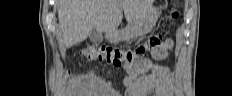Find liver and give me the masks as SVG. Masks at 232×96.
Instances as JSON below:
<instances>
[{"instance_id":"obj_1","label":"liver","mask_w":232,"mask_h":96,"mask_svg":"<svg viewBox=\"0 0 232 96\" xmlns=\"http://www.w3.org/2000/svg\"><path fill=\"white\" fill-rule=\"evenodd\" d=\"M153 0H59L58 19L66 48L84 41L94 28L105 34L117 31L123 12L135 24L152 6Z\"/></svg>"}]
</instances>
